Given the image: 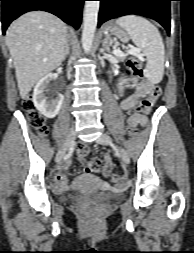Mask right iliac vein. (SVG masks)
Segmentation results:
<instances>
[{"label": "right iliac vein", "instance_id": "right-iliac-vein-1", "mask_svg": "<svg viewBox=\"0 0 194 253\" xmlns=\"http://www.w3.org/2000/svg\"><path fill=\"white\" fill-rule=\"evenodd\" d=\"M76 138V130L74 127H72L68 133L66 142L64 143V145L61 147V149L58 151L55 161L57 163H59L62 158L65 156L67 150L69 149V147L71 146V144L74 142Z\"/></svg>", "mask_w": 194, "mask_h": 253}]
</instances>
